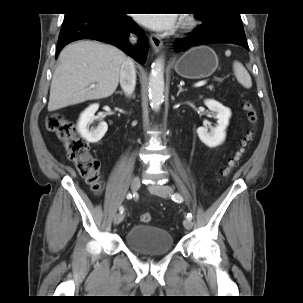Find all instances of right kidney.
<instances>
[{"instance_id":"ca27d5eb","label":"right kidney","mask_w":303,"mask_h":303,"mask_svg":"<svg viewBox=\"0 0 303 303\" xmlns=\"http://www.w3.org/2000/svg\"><path fill=\"white\" fill-rule=\"evenodd\" d=\"M99 108V104L90 105L81 115L78 121V131L82 138L90 143H96L100 141L108 130L106 122H100L94 129H89V125L98 120L95 116L96 111Z\"/></svg>"}]
</instances>
